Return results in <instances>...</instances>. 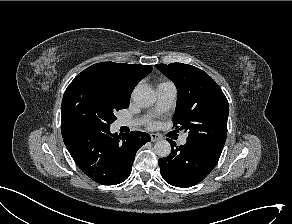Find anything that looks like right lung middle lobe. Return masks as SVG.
Masks as SVG:
<instances>
[{
  "mask_svg": "<svg viewBox=\"0 0 292 224\" xmlns=\"http://www.w3.org/2000/svg\"><path fill=\"white\" fill-rule=\"evenodd\" d=\"M130 98L120 92L107 73L88 67L67 87L61 106V125L82 124L98 129H110L115 114L129 107Z\"/></svg>",
  "mask_w": 292,
  "mask_h": 224,
  "instance_id": "right-lung-middle-lobe-1",
  "label": "right lung middle lobe"
}]
</instances>
